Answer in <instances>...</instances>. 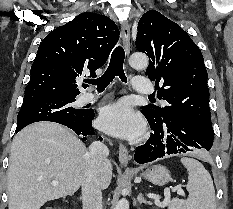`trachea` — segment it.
<instances>
[{"label":"trachea","instance_id":"3493384b","mask_svg":"<svg viewBox=\"0 0 233 209\" xmlns=\"http://www.w3.org/2000/svg\"><path fill=\"white\" fill-rule=\"evenodd\" d=\"M124 58L125 52L123 47H116L111 55L110 63L105 73L101 77L88 80L87 82L89 84L96 85L97 90L99 91L104 90L116 76L126 83L127 77L125 76L123 69ZM149 98L151 99L152 97L149 96Z\"/></svg>","mask_w":233,"mask_h":209}]
</instances>
